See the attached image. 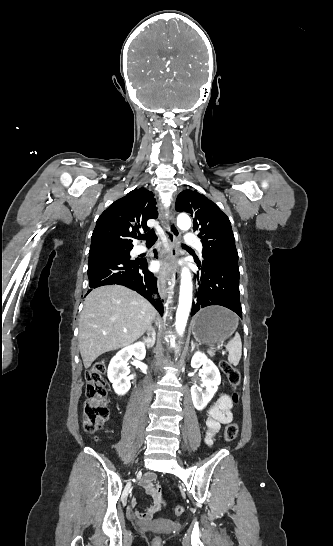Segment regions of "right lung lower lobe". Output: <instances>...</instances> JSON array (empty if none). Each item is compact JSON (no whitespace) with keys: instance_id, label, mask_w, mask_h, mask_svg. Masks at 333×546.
I'll return each instance as SVG.
<instances>
[{"instance_id":"1","label":"right lung lower lobe","mask_w":333,"mask_h":546,"mask_svg":"<svg viewBox=\"0 0 333 546\" xmlns=\"http://www.w3.org/2000/svg\"><path fill=\"white\" fill-rule=\"evenodd\" d=\"M145 259L131 260L118 250L98 248L89 251L88 278L90 290L103 285H124L144 296L163 315V305L159 299L156 277L148 271Z\"/></svg>"}]
</instances>
